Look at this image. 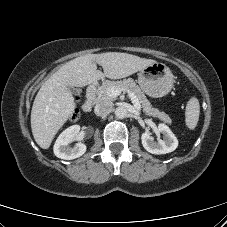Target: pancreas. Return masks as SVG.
I'll list each match as a JSON object with an SVG mask.
<instances>
[{
    "instance_id": "cf45deb5",
    "label": "pancreas",
    "mask_w": 227,
    "mask_h": 227,
    "mask_svg": "<svg viewBox=\"0 0 227 227\" xmlns=\"http://www.w3.org/2000/svg\"><path fill=\"white\" fill-rule=\"evenodd\" d=\"M112 87L114 88H120V89H125L128 88L130 89L137 97L140 106L144 113L148 116H153L156 118H159L163 122L167 124H171V119L170 117L165 113L161 112L156 108H153L150 104V102L147 100L145 94L142 92L140 87L136 84V82L131 79H124L123 81H105L101 86H99L96 90L97 94V100L98 101H112L115 99V97L110 96L109 89Z\"/></svg>"
}]
</instances>
